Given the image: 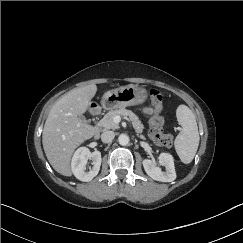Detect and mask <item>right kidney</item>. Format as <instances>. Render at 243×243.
Returning a JSON list of instances; mask_svg holds the SVG:
<instances>
[{
	"mask_svg": "<svg viewBox=\"0 0 243 243\" xmlns=\"http://www.w3.org/2000/svg\"><path fill=\"white\" fill-rule=\"evenodd\" d=\"M88 159L93 161V167L86 172V164ZM102 158L100 151L90 152L86 147L78 148L72 158L71 168L74 176L80 181H91L99 173Z\"/></svg>",
	"mask_w": 243,
	"mask_h": 243,
	"instance_id": "1",
	"label": "right kidney"
}]
</instances>
